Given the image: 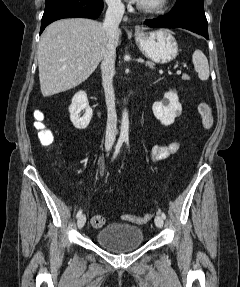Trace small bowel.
Returning a JSON list of instances; mask_svg holds the SVG:
<instances>
[{
	"mask_svg": "<svg viewBox=\"0 0 240 287\" xmlns=\"http://www.w3.org/2000/svg\"><path fill=\"white\" fill-rule=\"evenodd\" d=\"M180 147L179 141H173L167 145H154L151 148V159L153 162L165 160L175 153Z\"/></svg>",
	"mask_w": 240,
	"mask_h": 287,
	"instance_id": "obj_1",
	"label": "small bowel"
}]
</instances>
